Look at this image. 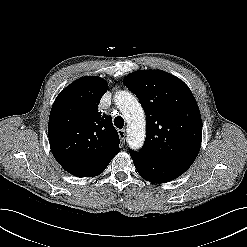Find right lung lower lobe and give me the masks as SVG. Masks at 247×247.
<instances>
[{
    "mask_svg": "<svg viewBox=\"0 0 247 247\" xmlns=\"http://www.w3.org/2000/svg\"><path fill=\"white\" fill-rule=\"evenodd\" d=\"M113 158L107 159L100 164L89 168L67 169L66 171L77 177H93L102 173Z\"/></svg>",
    "mask_w": 247,
    "mask_h": 247,
    "instance_id": "98d812e1",
    "label": "right lung lower lobe"
}]
</instances>
